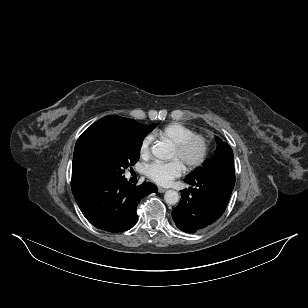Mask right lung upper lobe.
Masks as SVG:
<instances>
[{"instance_id":"1","label":"right lung upper lobe","mask_w":308,"mask_h":308,"mask_svg":"<svg viewBox=\"0 0 308 308\" xmlns=\"http://www.w3.org/2000/svg\"><path fill=\"white\" fill-rule=\"evenodd\" d=\"M142 126L135 120L110 115L88 127L78 138L74 149L72 192L98 178L96 157L103 146L118 139L136 136Z\"/></svg>"}]
</instances>
